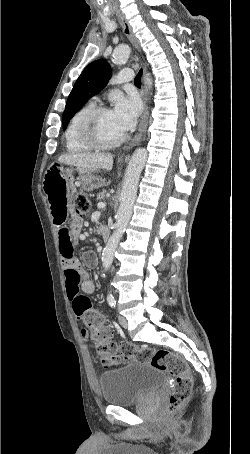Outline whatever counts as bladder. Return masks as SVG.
I'll return each mask as SVG.
<instances>
[{"label": "bladder", "mask_w": 250, "mask_h": 454, "mask_svg": "<svg viewBox=\"0 0 250 454\" xmlns=\"http://www.w3.org/2000/svg\"><path fill=\"white\" fill-rule=\"evenodd\" d=\"M165 376L151 364L129 361L126 365L104 372L99 376L103 400L109 405L134 404L164 383Z\"/></svg>", "instance_id": "31cf9c89"}]
</instances>
